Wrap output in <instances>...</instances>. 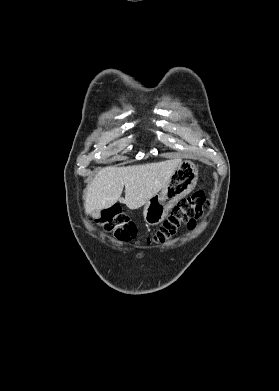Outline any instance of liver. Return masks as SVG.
<instances>
[{
  "mask_svg": "<svg viewBox=\"0 0 279 391\" xmlns=\"http://www.w3.org/2000/svg\"><path fill=\"white\" fill-rule=\"evenodd\" d=\"M182 159L175 158L133 166H109L101 169L88 186L86 214L107 209L120 201L129 209H138L166 185ZM125 186V199L121 198Z\"/></svg>",
  "mask_w": 279,
  "mask_h": 391,
  "instance_id": "1",
  "label": "liver"
}]
</instances>
